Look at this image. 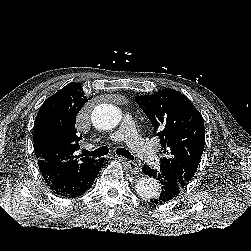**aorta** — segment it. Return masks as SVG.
I'll list each match as a JSON object with an SVG mask.
<instances>
[{"mask_svg": "<svg viewBox=\"0 0 251 251\" xmlns=\"http://www.w3.org/2000/svg\"><path fill=\"white\" fill-rule=\"evenodd\" d=\"M122 119V112L110 104L98 105L92 112L93 125L100 130L115 128ZM136 193L144 199H152L160 192L159 182L152 177H142L135 185Z\"/></svg>", "mask_w": 251, "mask_h": 251, "instance_id": "1", "label": "aorta"}]
</instances>
